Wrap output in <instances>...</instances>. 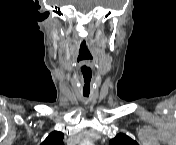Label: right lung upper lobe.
I'll list each match as a JSON object with an SVG mask.
<instances>
[{"label":"right lung upper lobe","instance_id":"1","mask_svg":"<svg viewBox=\"0 0 176 145\" xmlns=\"http://www.w3.org/2000/svg\"><path fill=\"white\" fill-rule=\"evenodd\" d=\"M64 134L59 131H53L49 136L42 142L41 145H64L63 143Z\"/></svg>","mask_w":176,"mask_h":145}]
</instances>
